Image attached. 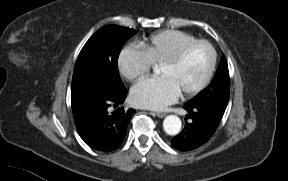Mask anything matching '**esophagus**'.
I'll use <instances>...</instances> for the list:
<instances>
[{"instance_id":"34e87169","label":"esophagus","mask_w":288,"mask_h":181,"mask_svg":"<svg viewBox=\"0 0 288 181\" xmlns=\"http://www.w3.org/2000/svg\"><path fill=\"white\" fill-rule=\"evenodd\" d=\"M154 114H155L156 116H158L159 118H163V117L166 116V113H165V112H154Z\"/></svg>"}]
</instances>
